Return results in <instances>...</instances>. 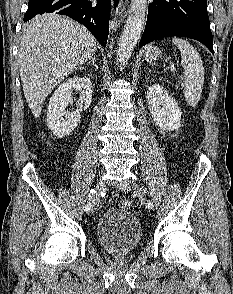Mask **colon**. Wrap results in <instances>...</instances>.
Listing matches in <instances>:
<instances>
[{
    "instance_id": "colon-1",
    "label": "colon",
    "mask_w": 233,
    "mask_h": 294,
    "mask_svg": "<svg viewBox=\"0 0 233 294\" xmlns=\"http://www.w3.org/2000/svg\"><path fill=\"white\" fill-rule=\"evenodd\" d=\"M119 207L123 210H129L132 207V203L130 200H122L119 203Z\"/></svg>"
}]
</instances>
